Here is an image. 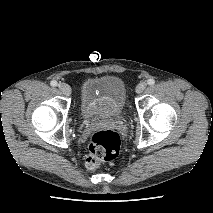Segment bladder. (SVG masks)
Instances as JSON below:
<instances>
[{"label": "bladder", "instance_id": "31cf9c89", "mask_svg": "<svg viewBox=\"0 0 213 213\" xmlns=\"http://www.w3.org/2000/svg\"><path fill=\"white\" fill-rule=\"evenodd\" d=\"M126 87L116 76H100L84 81L80 88V111L84 119L100 120L122 113Z\"/></svg>", "mask_w": 213, "mask_h": 213}]
</instances>
